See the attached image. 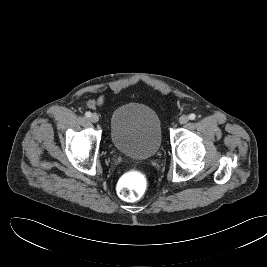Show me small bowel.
Here are the masks:
<instances>
[{
    "label": "small bowel",
    "mask_w": 267,
    "mask_h": 267,
    "mask_svg": "<svg viewBox=\"0 0 267 267\" xmlns=\"http://www.w3.org/2000/svg\"><path fill=\"white\" fill-rule=\"evenodd\" d=\"M105 102V96L103 94L99 95L95 99H91L87 102V107L90 109L102 106Z\"/></svg>",
    "instance_id": "c3829d8e"
}]
</instances>
